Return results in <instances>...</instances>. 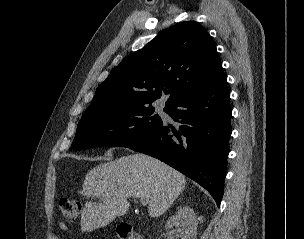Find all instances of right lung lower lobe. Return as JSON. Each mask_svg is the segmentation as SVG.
I'll use <instances>...</instances> for the list:
<instances>
[{
	"label": "right lung lower lobe",
	"mask_w": 304,
	"mask_h": 239,
	"mask_svg": "<svg viewBox=\"0 0 304 239\" xmlns=\"http://www.w3.org/2000/svg\"><path fill=\"white\" fill-rule=\"evenodd\" d=\"M223 72L183 94L164 111L177 122L156 130L128 148L155 157L204 187L220 205L229 154L231 107Z\"/></svg>",
	"instance_id": "1"
}]
</instances>
